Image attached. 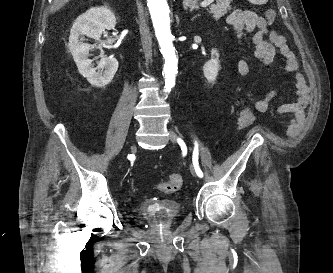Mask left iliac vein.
I'll use <instances>...</instances> for the list:
<instances>
[{"label": "left iliac vein", "instance_id": "4c4485c4", "mask_svg": "<svg viewBox=\"0 0 333 273\" xmlns=\"http://www.w3.org/2000/svg\"><path fill=\"white\" fill-rule=\"evenodd\" d=\"M169 139H170L172 142H176V141H177V134H176L174 131H172V130H169ZM190 170H191V173H192L194 176H196V175H195V171H194L192 165L190 166Z\"/></svg>", "mask_w": 333, "mask_h": 273}]
</instances>
